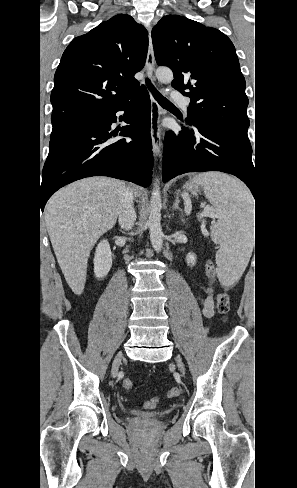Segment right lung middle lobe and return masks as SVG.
Masks as SVG:
<instances>
[{"label": "right lung middle lobe", "instance_id": "dd1d6c3e", "mask_svg": "<svg viewBox=\"0 0 297 488\" xmlns=\"http://www.w3.org/2000/svg\"><path fill=\"white\" fill-rule=\"evenodd\" d=\"M61 133H62V132H52V133H51L50 138L52 139V138H54V137H56V136L60 135Z\"/></svg>", "mask_w": 297, "mask_h": 488}]
</instances>
